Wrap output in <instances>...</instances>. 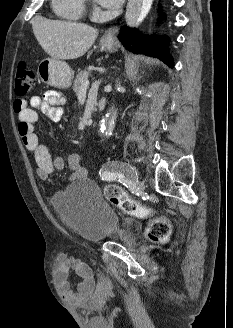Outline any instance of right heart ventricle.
<instances>
[{"label":"right heart ventricle","mask_w":233,"mask_h":328,"mask_svg":"<svg viewBox=\"0 0 233 328\" xmlns=\"http://www.w3.org/2000/svg\"><path fill=\"white\" fill-rule=\"evenodd\" d=\"M55 12L62 18L77 20L84 13V0H53Z\"/></svg>","instance_id":"right-heart-ventricle-1"}]
</instances>
